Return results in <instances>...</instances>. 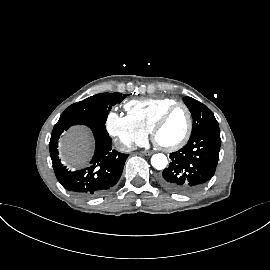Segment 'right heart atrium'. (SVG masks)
Returning <instances> with one entry per match:
<instances>
[{
	"label": "right heart atrium",
	"instance_id": "1",
	"mask_svg": "<svg viewBox=\"0 0 270 270\" xmlns=\"http://www.w3.org/2000/svg\"><path fill=\"white\" fill-rule=\"evenodd\" d=\"M106 128L127 148L140 145L147 139V133L129 115L110 112L106 119Z\"/></svg>",
	"mask_w": 270,
	"mask_h": 270
}]
</instances>
